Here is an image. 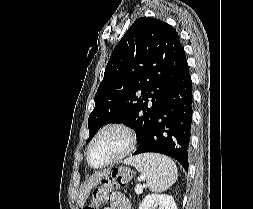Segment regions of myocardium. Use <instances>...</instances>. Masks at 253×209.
Segmentation results:
<instances>
[{"label": "myocardium", "instance_id": "obj_1", "mask_svg": "<svg viewBox=\"0 0 253 209\" xmlns=\"http://www.w3.org/2000/svg\"><path fill=\"white\" fill-rule=\"evenodd\" d=\"M111 129H119L121 130L125 136H126V145L125 147L116 155L114 156L112 159H110L109 161L105 162L104 164L101 165H93L91 162V149L92 146L94 144V142L107 130H111ZM136 144V135H135V131L134 129L126 122L124 121H112L109 122L105 125H103L93 136V138L91 139L88 148H87V162L89 164L90 167L94 168V169H101L104 167H107L109 165H112L116 162H118L119 160L123 159L125 156H127L135 147Z\"/></svg>", "mask_w": 253, "mask_h": 209}]
</instances>
